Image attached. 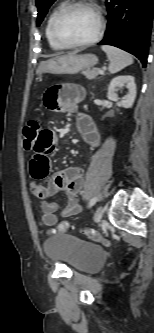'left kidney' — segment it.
Instances as JSON below:
<instances>
[{
    "label": "left kidney",
    "mask_w": 154,
    "mask_h": 333,
    "mask_svg": "<svg viewBox=\"0 0 154 333\" xmlns=\"http://www.w3.org/2000/svg\"><path fill=\"white\" fill-rule=\"evenodd\" d=\"M123 86L128 89V93L119 101L116 91ZM107 96L111 101L117 102L119 106L131 108L136 98V84L134 77L131 75H121L112 79L108 87Z\"/></svg>",
    "instance_id": "left-kidney-1"
}]
</instances>
